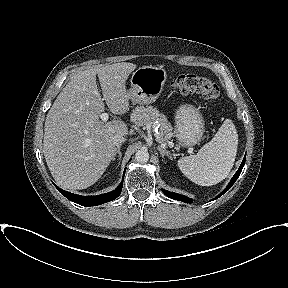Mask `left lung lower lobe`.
Wrapping results in <instances>:
<instances>
[{
    "instance_id": "left-lung-lower-lobe-1",
    "label": "left lung lower lobe",
    "mask_w": 288,
    "mask_h": 288,
    "mask_svg": "<svg viewBox=\"0 0 288 288\" xmlns=\"http://www.w3.org/2000/svg\"><path fill=\"white\" fill-rule=\"evenodd\" d=\"M245 160H246V155L239 167V169L237 170V172L235 173V175L233 176V178L231 179L230 183L228 184V186L224 189L223 192H221L217 197L213 198L211 201L219 198L220 196H222L225 192H227L230 187L235 183V181L237 180V178L239 177L244 165H245ZM163 193L168 196L169 198H172L174 200H178V201H182V202H185V203H191L192 202V199L184 196V195H181V194H178V193H174V192H170V191H167V190H162Z\"/></svg>"
}]
</instances>
